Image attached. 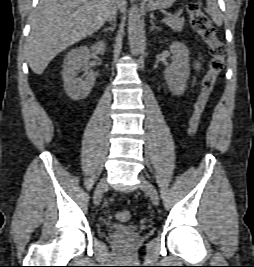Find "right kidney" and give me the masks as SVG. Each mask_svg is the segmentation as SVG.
<instances>
[{"instance_id": "1", "label": "right kidney", "mask_w": 254, "mask_h": 267, "mask_svg": "<svg viewBox=\"0 0 254 267\" xmlns=\"http://www.w3.org/2000/svg\"><path fill=\"white\" fill-rule=\"evenodd\" d=\"M91 51L103 55L106 45L103 41H98L90 48L81 46L71 50L64 59L62 72L64 90L73 100L85 99L94 86L96 76L88 65ZM80 71H84L85 78L77 77Z\"/></svg>"}]
</instances>
